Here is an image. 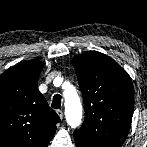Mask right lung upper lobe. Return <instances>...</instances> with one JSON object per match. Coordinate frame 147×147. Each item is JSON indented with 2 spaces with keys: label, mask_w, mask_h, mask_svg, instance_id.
Returning <instances> with one entry per match:
<instances>
[{
  "label": "right lung upper lobe",
  "mask_w": 147,
  "mask_h": 147,
  "mask_svg": "<svg viewBox=\"0 0 147 147\" xmlns=\"http://www.w3.org/2000/svg\"><path fill=\"white\" fill-rule=\"evenodd\" d=\"M44 63L29 60L0 76V147H47L59 116L39 92Z\"/></svg>",
  "instance_id": "right-lung-upper-lobe-1"
}]
</instances>
